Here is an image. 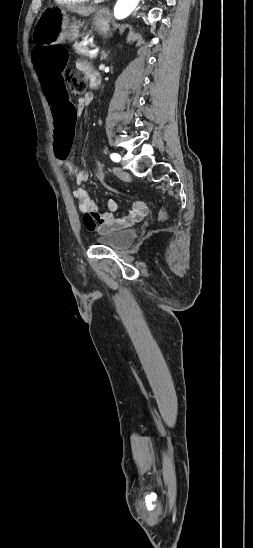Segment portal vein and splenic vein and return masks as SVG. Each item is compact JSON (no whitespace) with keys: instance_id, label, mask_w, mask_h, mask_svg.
<instances>
[{"instance_id":"18ae733b","label":"portal vein and splenic vein","mask_w":253,"mask_h":548,"mask_svg":"<svg viewBox=\"0 0 253 548\" xmlns=\"http://www.w3.org/2000/svg\"><path fill=\"white\" fill-rule=\"evenodd\" d=\"M97 53H98V49L95 48V49H93V50L90 51L89 57H90V58H93V57H95V56L97 55Z\"/></svg>"}]
</instances>
